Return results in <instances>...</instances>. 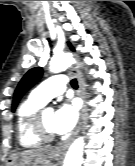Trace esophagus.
<instances>
[{
  "mask_svg": "<svg viewBox=\"0 0 135 166\" xmlns=\"http://www.w3.org/2000/svg\"><path fill=\"white\" fill-rule=\"evenodd\" d=\"M73 71H74V74L77 78L78 85H79L78 94H79L80 98L82 99V108H81V112H80V119H79V123H78L75 131L73 132L72 136L66 142L62 143L59 147L54 149L53 151L55 153L62 152L63 150H65L70 145V143L72 142L74 137L80 131V129L82 127V124H83V121H84V115H85V111H86L85 82H84V79L82 78V76L80 75V73L77 70L73 69Z\"/></svg>",
  "mask_w": 135,
  "mask_h": 166,
  "instance_id": "esophagus-1",
  "label": "esophagus"
}]
</instances>
